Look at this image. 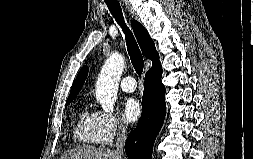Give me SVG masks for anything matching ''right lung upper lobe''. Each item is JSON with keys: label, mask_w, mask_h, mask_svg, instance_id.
Returning a JSON list of instances; mask_svg holds the SVG:
<instances>
[{"label": "right lung upper lobe", "mask_w": 253, "mask_h": 159, "mask_svg": "<svg viewBox=\"0 0 253 159\" xmlns=\"http://www.w3.org/2000/svg\"><path fill=\"white\" fill-rule=\"evenodd\" d=\"M131 26L140 45L142 53L145 57L152 60V68L150 70H161L159 55L155 49V45L147 30L136 20L131 21ZM88 75V67L84 66L79 71L75 81L72 84L69 97L67 100L74 99L82 88Z\"/></svg>", "instance_id": "cb5924a9"}]
</instances>
